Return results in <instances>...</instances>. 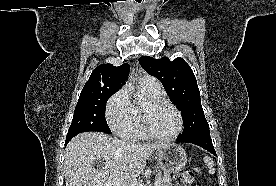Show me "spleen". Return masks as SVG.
Here are the masks:
<instances>
[{
  "instance_id": "spleen-1",
  "label": "spleen",
  "mask_w": 276,
  "mask_h": 186,
  "mask_svg": "<svg viewBox=\"0 0 276 186\" xmlns=\"http://www.w3.org/2000/svg\"><path fill=\"white\" fill-rule=\"evenodd\" d=\"M204 163L209 167V174H214L215 173V168H214V161L206 156L204 157Z\"/></svg>"
}]
</instances>
